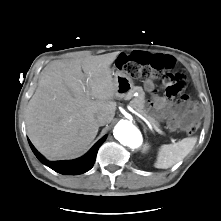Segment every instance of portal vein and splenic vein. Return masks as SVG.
<instances>
[{"mask_svg": "<svg viewBox=\"0 0 221 221\" xmlns=\"http://www.w3.org/2000/svg\"><path fill=\"white\" fill-rule=\"evenodd\" d=\"M135 114H136L137 116H139V117L148 125L149 128H151V129L153 128V129H154L156 132H158L159 134L165 135V133H164L160 128H158L157 126L151 124L150 121H149L146 117H144L143 115H141V114L138 113V112H135Z\"/></svg>", "mask_w": 221, "mask_h": 221, "instance_id": "18ae733b", "label": "portal vein and splenic vein"}]
</instances>
